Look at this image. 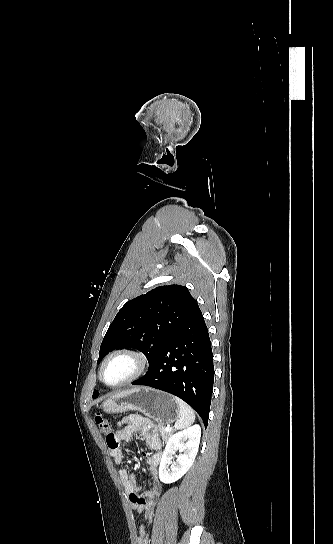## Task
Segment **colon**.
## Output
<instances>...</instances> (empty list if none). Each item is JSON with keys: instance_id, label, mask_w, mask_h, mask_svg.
<instances>
[{"instance_id": "1", "label": "colon", "mask_w": 333, "mask_h": 544, "mask_svg": "<svg viewBox=\"0 0 333 544\" xmlns=\"http://www.w3.org/2000/svg\"><path fill=\"white\" fill-rule=\"evenodd\" d=\"M94 420L98 429L100 430L101 433H103L106 436V438L112 434L109 421L106 419V417L103 414L97 413L94 417Z\"/></svg>"}]
</instances>
